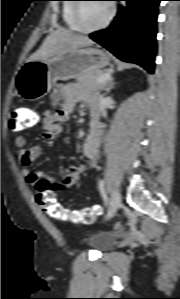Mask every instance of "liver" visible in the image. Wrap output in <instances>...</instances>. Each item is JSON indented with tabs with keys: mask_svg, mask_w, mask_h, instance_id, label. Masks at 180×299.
Instances as JSON below:
<instances>
[{
	"mask_svg": "<svg viewBox=\"0 0 180 299\" xmlns=\"http://www.w3.org/2000/svg\"><path fill=\"white\" fill-rule=\"evenodd\" d=\"M93 43L86 36L75 34L64 28H58L44 39L42 45L29 57L28 61L49 60L65 51L83 48Z\"/></svg>",
	"mask_w": 180,
	"mask_h": 299,
	"instance_id": "obj_1",
	"label": "liver"
}]
</instances>
